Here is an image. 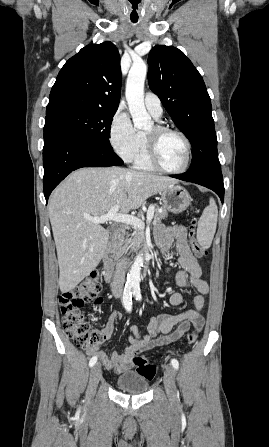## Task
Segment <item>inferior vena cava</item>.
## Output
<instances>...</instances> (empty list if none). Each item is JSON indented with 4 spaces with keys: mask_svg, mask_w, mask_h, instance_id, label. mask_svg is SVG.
<instances>
[{
    "mask_svg": "<svg viewBox=\"0 0 269 447\" xmlns=\"http://www.w3.org/2000/svg\"><path fill=\"white\" fill-rule=\"evenodd\" d=\"M127 257L120 259L116 265L113 281L111 283V289L113 293H122L123 285L125 281V267L127 265Z\"/></svg>",
    "mask_w": 269,
    "mask_h": 447,
    "instance_id": "obj_1",
    "label": "inferior vena cava"
}]
</instances>
